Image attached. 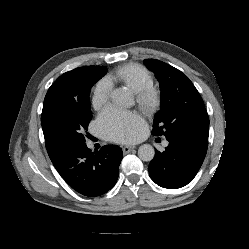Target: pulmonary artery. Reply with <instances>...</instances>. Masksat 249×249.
<instances>
[{
    "mask_svg": "<svg viewBox=\"0 0 249 249\" xmlns=\"http://www.w3.org/2000/svg\"><path fill=\"white\" fill-rule=\"evenodd\" d=\"M163 145H164V146H167V145H168V142H167V141H165V142L163 143Z\"/></svg>",
    "mask_w": 249,
    "mask_h": 249,
    "instance_id": "1",
    "label": "pulmonary artery"
}]
</instances>
